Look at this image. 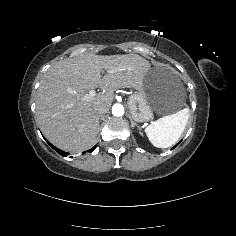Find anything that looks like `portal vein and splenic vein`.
I'll return each mask as SVG.
<instances>
[{"instance_id": "1", "label": "portal vein and splenic vein", "mask_w": 236, "mask_h": 236, "mask_svg": "<svg viewBox=\"0 0 236 236\" xmlns=\"http://www.w3.org/2000/svg\"><path fill=\"white\" fill-rule=\"evenodd\" d=\"M94 96H96V91H95V90H91V91H89L88 94H86V95L84 96V98H85L86 100H88V99H90V98H92V97H94Z\"/></svg>"}]
</instances>
